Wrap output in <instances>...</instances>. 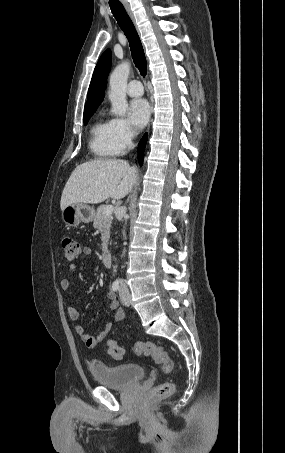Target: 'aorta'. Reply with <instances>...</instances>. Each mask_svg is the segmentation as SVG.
<instances>
[{"mask_svg": "<svg viewBox=\"0 0 285 453\" xmlns=\"http://www.w3.org/2000/svg\"><path fill=\"white\" fill-rule=\"evenodd\" d=\"M130 69L128 62H122L110 75L109 99L112 105L111 112L116 116L123 117L128 110L126 91Z\"/></svg>", "mask_w": 285, "mask_h": 453, "instance_id": "762f6f07", "label": "aorta"}]
</instances>
